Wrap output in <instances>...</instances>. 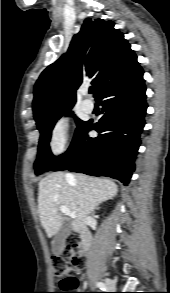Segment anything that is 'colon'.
Masks as SVG:
<instances>
[{"label": "colon", "instance_id": "5ec220e1", "mask_svg": "<svg viewBox=\"0 0 170 293\" xmlns=\"http://www.w3.org/2000/svg\"><path fill=\"white\" fill-rule=\"evenodd\" d=\"M80 241L77 237L70 236L65 241L63 256H52V266L55 275L60 278L59 289L71 293L78 286V280L73 276L76 270L84 265V256L78 251Z\"/></svg>", "mask_w": 170, "mask_h": 293}]
</instances>
